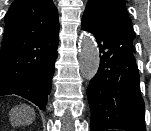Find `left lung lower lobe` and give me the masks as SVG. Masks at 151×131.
Instances as JSON below:
<instances>
[{"label": "left lung lower lobe", "instance_id": "1", "mask_svg": "<svg viewBox=\"0 0 151 131\" xmlns=\"http://www.w3.org/2000/svg\"><path fill=\"white\" fill-rule=\"evenodd\" d=\"M81 26L95 36L101 54L100 67L87 89L91 131H146L145 106L134 53L128 48V29L91 16H84Z\"/></svg>", "mask_w": 151, "mask_h": 131}]
</instances>
